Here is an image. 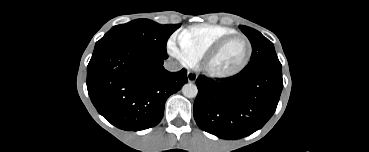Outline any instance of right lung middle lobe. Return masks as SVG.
Segmentation results:
<instances>
[{"mask_svg":"<svg viewBox=\"0 0 369 152\" xmlns=\"http://www.w3.org/2000/svg\"><path fill=\"white\" fill-rule=\"evenodd\" d=\"M180 27L160 25L148 19H137L126 24L114 26L95 44L94 51L114 43H134L146 47L161 57H168L166 43L170 35Z\"/></svg>","mask_w":369,"mask_h":152,"instance_id":"dd1d6c3e","label":"right lung middle lobe"}]
</instances>
